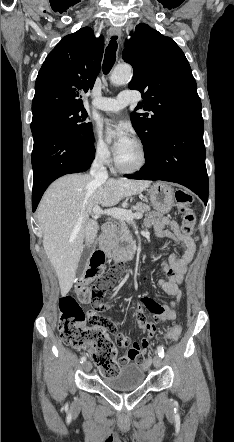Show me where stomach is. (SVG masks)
<instances>
[{
	"label": "stomach",
	"instance_id": "stomach-1",
	"mask_svg": "<svg viewBox=\"0 0 234 442\" xmlns=\"http://www.w3.org/2000/svg\"><path fill=\"white\" fill-rule=\"evenodd\" d=\"M150 201L154 209L161 213H167L174 205L175 194L171 186L166 183L157 182L149 191Z\"/></svg>",
	"mask_w": 234,
	"mask_h": 442
}]
</instances>
